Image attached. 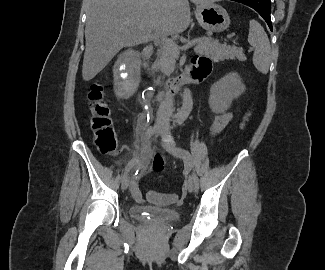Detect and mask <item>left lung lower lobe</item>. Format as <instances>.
<instances>
[{
  "instance_id": "0a47b994",
  "label": "left lung lower lobe",
  "mask_w": 325,
  "mask_h": 270,
  "mask_svg": "<svg viewBox=\"0 0 325 270\" xmlns=\"http://www.w3.org/2000/svg\"><path fill=\"white\" fill-rule=\"evenodd\" d=\"M242 4H245L254 10H256L267 22L270 30L272 31L271 22V1L270 0H233Z\"/></svg>"
}]
</instances>
